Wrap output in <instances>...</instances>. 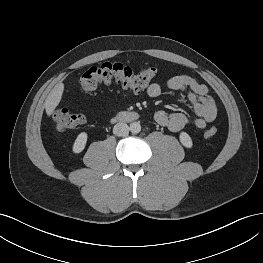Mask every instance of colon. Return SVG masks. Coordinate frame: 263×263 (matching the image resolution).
<instances>
[{
    "label": "colon",
    "mask_w": 263,
    "mask_h": 263,
    "mask_svg": "<svg viewBox=\"0 0 263 263\" xmlns=\"http://www.w3.org/2000/svg\"><path fill=\"white\" fill-rule=\"evenodd\" d=\"M156 76V69L142 66L138 70L120 64L103 63L88 68L78 79L79 86L85 91H92L100 85L119 84L133 91H140L146 88ZM56 129L66 131L82 124L85 117L82 114L74 113L68 109H56L52 115ZM217 128L210 127L206 137L216 135Z\"/></svg>",
    "instance_id": "5ec220e1"
}]
</instances>
